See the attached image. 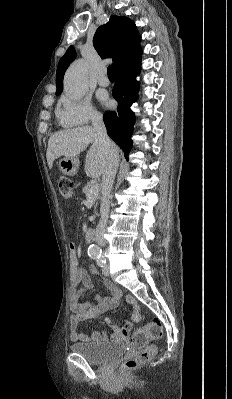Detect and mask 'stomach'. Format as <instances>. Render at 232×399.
I'll return each mask as SVG.
<instances>
[{
    "instance_id": "obj_1",
    "label": "stomach",
    "mask_w": 232,
    "mask_h": 399,
    "mask_svg": "<svg viewBox=\"0 0 232 399\" xmlns=\"http://www.w3.org/2000/svg\"><path fill=\"white\" fill-rule=\"evenodd\" d=\"M79 164L80 162L77 156H75V158H62V160L58 162V168L65 176H75L78 172Z\"/></svg>"
}]
</instances>
